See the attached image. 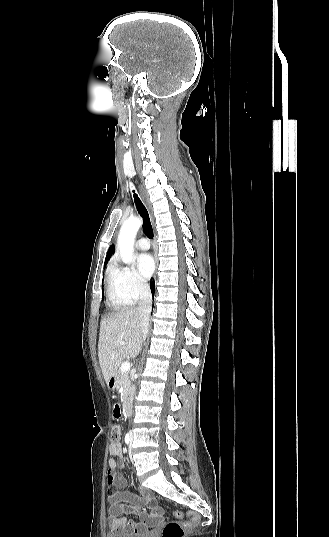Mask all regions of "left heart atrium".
I'll list each match as a JSON object with an SVG mask.
<instances>
[{
    "label": "left heart atrium",
    "instance_id": "obj_1",
    "mask_svg": "<svg viewBox=\"0 0 329 537\" xmlns=\"http://www.w3.org/2000/svg\"><path fill=\"white\" fill-rule=\"evenodd\" d=\"M136 263L140 275L144 279H148L152 275L155 268L153 257L147 253L140 254L137 256Z\"/></svg>",
    "mask_w": 329,
    "mask_h": 537
}]
</instances>
